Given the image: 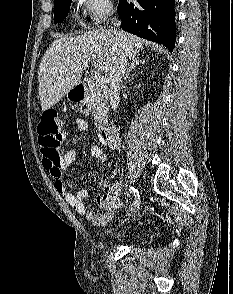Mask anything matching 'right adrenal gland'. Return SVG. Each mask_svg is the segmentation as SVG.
Instances as JSON below:
<instances>
[{
	"label": "right adrenal gland",
	"instance_id": "1",
	"mask_svg": "<svg viewBox=\"0 0 233 294\" xmlns=\"http://www.w3.org/2000/svg\"><path fill=\"white\" fill-rule=\"evenodd\" d=\"M144 63H145V60H139V57H135L134 59H132V61H131V65H130V67L127 69V72H126V74H125L124 79H125V80L129 79V74H130V72H131L133 69H135V67H136L137 65H139V64H144Z\"/></svg>",
	"mask_w": 233,
	"mask_h": 294
}]
</instances>
